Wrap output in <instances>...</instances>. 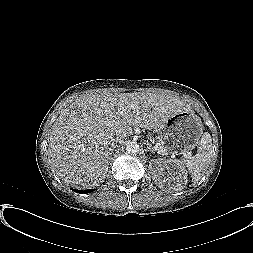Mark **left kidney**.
<instances>
[{"mask_svg": "<svg viewBox=\"0 0 253 253\" xmlns=\"http://www.w3.org/2000/svg\"><path fill=\"white\" fill-rule=\"evenodd\" d=\"M153 180L161 188L169 190L180 191L187 184V171L185 167L175 163L171 160L155 159L153 160ZM167 170L169 178L164 177L163 171Z\"/></svg>", "mask_w": 253, "mask_h": 253, "instance_id": "1", "label": "left kidney"}]
</instances>
